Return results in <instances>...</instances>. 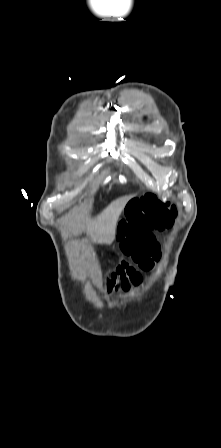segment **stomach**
<instances>
[{"label":"stomach","mask_w":221,"mask_h":448,"mask_svg":"<svg viewBox=\"0 0 221 448\" xmlns=\"http://www.w3.org/2000/svg\"><path fill=\"white\" fill-rule=\"evenodd\" d=\"M132 204H133V200L129 201V202L127 203V206H126V209H125V210H127V208L131 207Z\"/></svg>","instance_id":"1"}]
</instances>
